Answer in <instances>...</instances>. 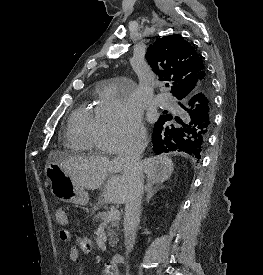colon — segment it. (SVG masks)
<instances>
[{
    "instance_id": "5ec220e1",
    "label": "colon",
    "mask_w": 263,
    "mask_h": 275,
    "mask_svg": "<svg viewBox=\"0 0 263 275\" xmlns=\"http://www.w3.org/2000/svg\"><path fill=\"white\" fill-rule=\"evenodd\" d=\"M56 221L61 226H66L68 224V215L65 209L59 208L56 210L55 213ZM62 237L67 240L69 238V234L67 232V229L62 230Z\"/></svg>"
}]
</instances>
